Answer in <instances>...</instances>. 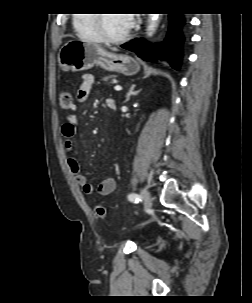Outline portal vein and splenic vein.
Returning a JSON list of instances; mask_svg holds the SVG:
<instances>
[{
  "label": "portal vein and splenic vein",
  "mask_w": 252,
  "mask_h": 303,
  "mask_svg": "<svg viewBox=\"0 0 252 303\" xmlns=\"http://www.w3.org/2000/svg\"><path fill=\"white\" fill-rule=\"evenodd\" d=\"M114 89H115L116 91H121V90H122V87H121L120 85H116V86L114 87Z\"/></svg>",
  "instance_id": "obj_1"
}]
</instances>
